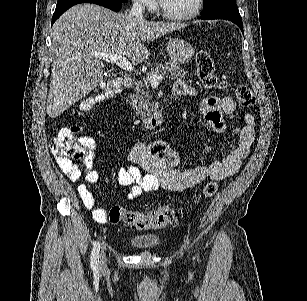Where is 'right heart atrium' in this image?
Masks as SVG:
<instances>
[{
  "mask_svg": "<svg viewBox=\"0 0 307 301\" xmlns=\"http://www.w3.org/2000/svg\"><path fill=\"white\" fill-rule=\"evenodd\" d=\"M136 7H141L142 11H150L153 0H136Z\"/></svg>",
  "mask_w": 307,
  "mask_h": 301,
  "instance_id": "d8ad5b80",
  "label": "right heart atrium"
}]
</instances>
